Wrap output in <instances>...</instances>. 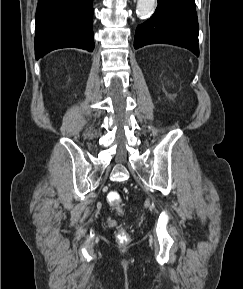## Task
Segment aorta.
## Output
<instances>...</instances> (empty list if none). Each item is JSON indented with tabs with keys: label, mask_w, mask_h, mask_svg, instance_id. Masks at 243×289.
Instances as JSON below:
<instances>
[{
	"label": "aorta",
	"mask_w": 243,
	"mask_h": 289,
	"mask_svg": "<svg viewBox=\"0 0 243 289\" xmlns=\"http://www.w3.org/2000/svg\"><path fill=\"white\" fill-rule=\"evenodd\" d=\"M155 0H138L136 13L141 18H147L153 11Z\"/></svg>",
	"instance_id": "762f6f07"
}]
</instances>
